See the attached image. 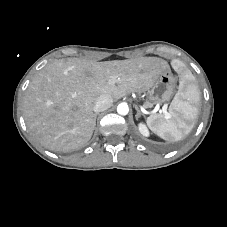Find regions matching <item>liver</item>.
<instances>
[{
  "instance_id": "6515ba94",
  "label": "liver",
  "mask_w": 227,
  "mask_h": 227,
  "mask_svg": "<svg viewBox=\"0 0 227 227\" xmlns=\"http://www.w3.org/2000/svg\"><path fill=\"white\" fill-rule=\"evenodd\" d=\"M169 70L166 61L155 57L55 60L38 72L24 93L27 129L52 151L79 149L93 134V107L99 97L118 100L129 92H144ZM111 78H115L114 84L109 82Z\"/></svg>"
}]
</instances>
